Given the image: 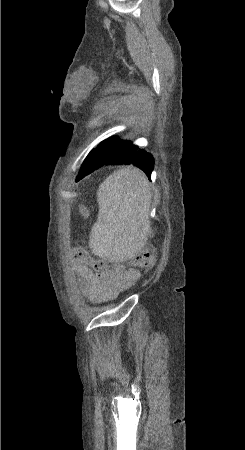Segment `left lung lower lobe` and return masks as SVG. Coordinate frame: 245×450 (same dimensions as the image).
I'll list each match as a JSON object with an SVG mask.
<instances>
[{"label":"left lung lower lobe","instance_id":"1","mask_svg":"<svg viewBox=\"0 0 245 450\" xmlns=\"http://www.w3.org/2000/svg\"><path fill=\"white\" fill-rule=\"evenodd\" d=\"M93 151H96L95 153L99 154V162L92 168H88L86 171L79 173L76 181L84 178L102 165L111 164H133L142 169L149 179L151 177L154 167L152 155L145 150L139 149V147L133 145L132 142H128L125 145L116 148H103L98 146Z\"/></svg>","mask_w":245,"mask_h":450}]
</instances>
